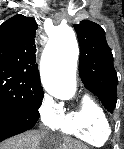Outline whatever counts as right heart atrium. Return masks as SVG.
<instances>
[{
    "mask_svg": "<svg viewBox=\"0 0 124 149\" xmlns=\"http://www.w3.org/2000/svg\"><path fill=\"white\" fill-rule=\"evenodd\" d=\"M61 108L47 95L39 105L38 115L43 126L50 129H57L62 119Z\"/></svg>",
    "mask_w": 124,
    "mask_h": 149,
    "instance_id": "obj_1",
    "label": "right heart atrium"
}]
</instances>
